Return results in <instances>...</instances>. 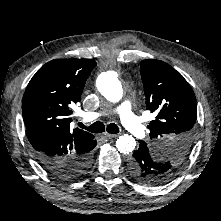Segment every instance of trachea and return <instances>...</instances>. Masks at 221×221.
Segmentation results:
<instances>
[{
    "label": "trachea",
    "mask_w": 221,
    "mask_h": 221,
    "mask_svg": "<svg viewBox=\"0 0 221 221\" xmlns=\"http://www.w3.org/2000/svg\"><path fill=\"white\" fill-rule=\"evenodd\" d=\"M78 125H79V127L84 128V129H86V130H88L89 132H92V133H102V132L105 131V125L100 121H97V122L93 123L89 127H86L81 122ZM106 131L108 133H111V134H117V133H119V128L116 124L110 123V124L107 125Z\"/></svg>",
    "instance_id": "trachea-1"
}]
</instances>
